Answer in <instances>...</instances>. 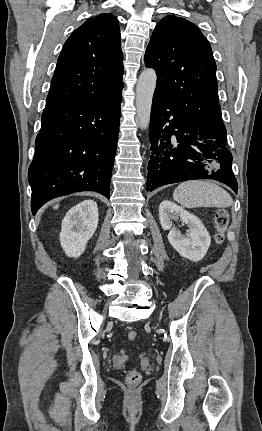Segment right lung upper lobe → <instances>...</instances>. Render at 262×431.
<instances>
[{
  "mask_svg": "<svg viewBox=\"0 0 262 431\" xmlns=\"http://www.w3.org/2000/svg\"><path fill=\"white\" fill-rule=\"evenodd\" d=\"M118 20L102 13L67 39L57 60L47 104L100 103L123 89Z\"/></svg>",
  "mask_w": 262,
  "mask_h": 431,
  "instance_id": "cb5924a9",
  "label": "right lung upper lobe"
}]
</instances>
